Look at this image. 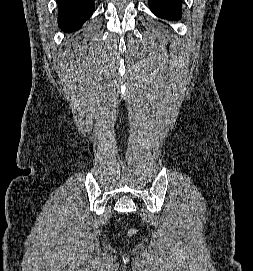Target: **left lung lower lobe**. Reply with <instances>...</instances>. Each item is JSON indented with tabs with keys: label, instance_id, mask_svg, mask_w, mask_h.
Instances as JSON below:
<instances>
[{
	"label": "left lung lower lobe",
	"instance_id": "obj_1",
	"mask_svg": "<svg viewBox=\"0 0 253 271\" xmlns=\"http://www.w3.org/2000/svg\"><path fill=\"white\" fill-rule=\"evenodd\" d=\"M151 11L159 17L178 20L181 18L182 0H148Z\"/></svg>",
	"mask_w": 253,
	"mask_h": 271
}]
</instances>
